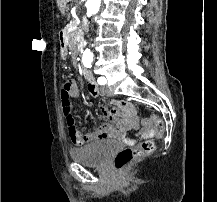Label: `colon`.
I'll return each mask as SVG.
<instances>
[{
  "label": "colon",
  "mask_w": 217,
  "mask_h": 202,
  "mask_svg": "<svg viewBox=\"0 0 217 202\" xmlns=\"http://www.w3.org/2000/svg\"><path fill=\"white\" fill-rule=\"evenodd\" d=\"M57 96H60L62 111L65 119V124L68 131H76L74 126V119L71 111V83L64 82L61 84L60 91L56 92ZM154 118L153 122L156 123L155 128L157 133V138H162V134L165 133L164 123L162 120H159L156 115H152ZM144 123V126H152V122H149V118H142L140 120ZM154 150V142L148 138L140 143L136 147H125L119 151L114 157V165L117 169L121 170L120 177H125V172L122 169H125L129 164L134 160L141 157L150 155Z\"/></svg>",
  "instance_id": "obj_1"
}]
</instances>
